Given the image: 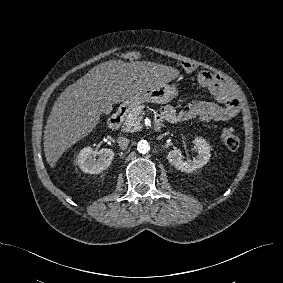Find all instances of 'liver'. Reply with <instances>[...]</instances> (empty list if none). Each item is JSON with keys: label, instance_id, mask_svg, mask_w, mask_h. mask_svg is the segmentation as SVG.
Here are the masks:
<instances>
[{"label": "liver", "instance_id": "liver-1", "mask_svg": "<svg viewBox=\"0 0 283 283\" xmlns=\"http://www.w3.org/2000/svg\"><path fill=\"white\" fill-rule=\"evenodd\" d=\"M179 72L169 66L146 61H106L68 86L54 103L44 130V153L54 167L63 153L87 136L100 116L131 95L169 82Z\"/></svg>", "mask_w": 283, "mask_h": 283}]
</instances>
